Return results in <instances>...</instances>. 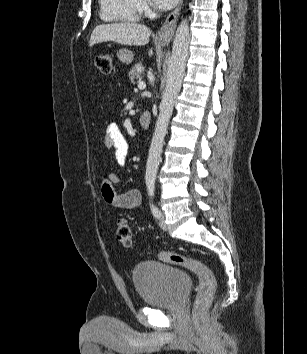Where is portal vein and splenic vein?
<instances>
[{"instance_id": "portal-vein-and-splenic-vein-1", "label": "portal vein and splenic vein", "mask_w": 307, "mask_h": 354, "mask_svg": "<svg viewBox=\"0 0 307 354\" xmlns=\"http://www.w3.org/2000/svg\"><path fill=\"white\" fill-rule=\"evenodd\" d=\"M145 87H146V84H145V82H143V81H141V82H139V84H138V88L139 89H145Z\"/></svg>"}]
</instances>
